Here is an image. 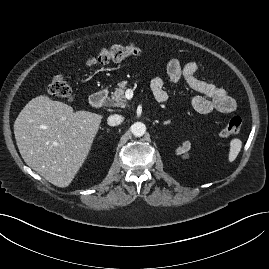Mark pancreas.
Wrapping results in <instances>:
<instances>
[{
    "label": "pancreas",
    "instance_id": "cf45deb5",
    "mask_svg": "<svg viewBox=\"0 0 269 269\" xmlns=\"http://www.w3.org/2000/svg\"><path fill=\"white\" fill-rule=\"evenodd\" d=\"M126 82H121L119 87L115 88V91L112 93L111 99L108 101L109 106H126V97H125V89Z\"/></svg>",
    "mask_w": 269,
    "mask_h": 269
}]
</instances>
